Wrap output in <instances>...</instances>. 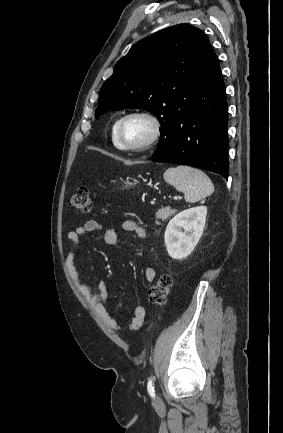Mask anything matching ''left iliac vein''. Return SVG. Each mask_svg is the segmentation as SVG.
Segmentation results:
<instances>
[{
	"label": "left iliac vein",
	"instance_id": "1",
	"mask_svg": "<svg viewBox=\"0 0 283 433\" xmlns=\"http://www.w3.org/2000/svg\"><path fill=\"white\" fill-rule=\"evenodd\" d=\"M155 402H156L155 405H160L161 400L159 398H156Z\"/></svg>",
	"mask_w": 283,
	"mask_h": 433
}]
</instances>
